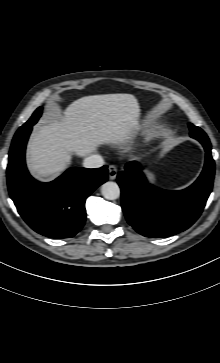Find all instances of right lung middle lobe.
<instances>
[{
  "label": "right lung middle lobe",
  "instance_id": "right-lung-middle-lobe-1",
  "mask_svg": "<svg viewBox=\"0 0 220 363\" xmlns=\"http://www.w3.org/2000/svg\"><path fill=\"white\" fill-rule=\"evenodd\" d=\"M41 113H42V107H39L32 115V117L23 125L19 128V130L16 132L15 135H18L20 134L22 131H24L26 128L34 125L39 117L41 116Z\"/></svg>",
  "mask_w": 220,
  "mask_h": 363
}]
</instances>
